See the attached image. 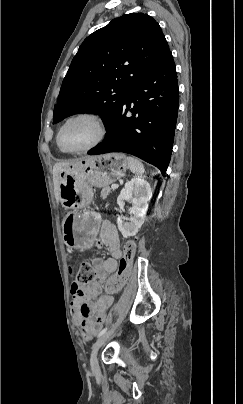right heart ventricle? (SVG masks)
<instances>
[{"label": "right heart ventricle", "instance_id": "right-heart-ventricle-1", "mask_svg": "<svg viewBox=\"0 0 243 404\" xmlns=\"http://www.w3.org/2000/svg\"><path fill=\"white\" fill-rule=\"evenodd\" d=\"M56 144H57V147H58V149H59V151H60L61 153H63V154H67V153H68V152H66L63 148H60V147H59L58 142H57V139H56Z\"/></svg>", "mask_w": 243, "mask_h": 404}]
</instances>
